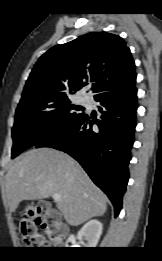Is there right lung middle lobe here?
<instances>
[{
	"label": "right lung middle lobe",
	"mask_w": 162,
	"mask_h": 261,
	"mask_svg": "<svg viewBox=\"0 0 162 261\" xmlns=\"http://www.w3.org/2000/svg\"><path fill=\"white\" fill-rule=\"evenodd\" d=\"M76 110L81 107L71 105L68 96H35L21 101L12 128V158L85 115Z\"/></svg>",
	"instance_id": "dd1d6c3e"
}]
</instances>
